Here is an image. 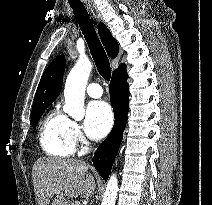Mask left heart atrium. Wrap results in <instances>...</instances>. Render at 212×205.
Returning a JSON list of instances; mask_svg holds the SVG:
<instances>
[{
  "label": "left heart atrium",
  "instance_id": "obj_1",
  "mask_svg": "<svg viewBox=\"0 0 212 205\" xmlns=\"http://www.w3.org/2000/svg\"><path fill=\"white\" fill-rule=\"evenodd\" d=\"M113 125V113L110 106L104 101H92L86 108L85 133L93 140L106 136Z\"/></svg>",
  "mask_w": 212,
  "mask_h": 205
}]
</instances>
